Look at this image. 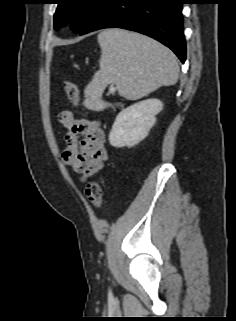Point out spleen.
Here are the masks:
<instances>
[{
  "instance_id": "spleen-1",
  "label": "spleen",
  "mask_w": 236,
  "mask_h": 321,
  "mask_svg": "<svg viewBox=\"0 0 236 321\" xmlns=\"http://www.w3.org/2000/svg\"><path fill=\"white\" fill-rule=\"evenodd\" d=\"M98 43L100 69L84 90V105L88 109L100 111L110 106L101 99L110 83L116 85L121 96L135 100L178 80L179 66L174 53L149 37L109 29L98 35Z\"/></svg>"
}]
</instances>
